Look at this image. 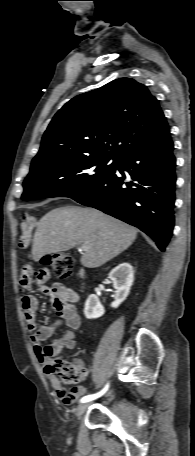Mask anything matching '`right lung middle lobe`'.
<instances>
[{"instance_id":"1","label":"right lung middle lobe","mask_w":195,"mask_h":456,"mask_svg":"<svg viewBox=\"0 0 195 456\" xmlns=\"http://www.w3.org/2000/svg\"><path fill=\"white\" fill-rule=\"evenodd\" d=\"M100 155L65 157L32 166L26 177L22 199L50 197L72 199L90 192L116 169L117 160Z\"/></svg>"}]
</instances>
